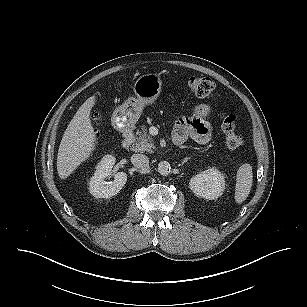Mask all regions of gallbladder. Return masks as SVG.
I'll return each instance as SVG.
<instances>
[{
  "label": "gallbladder",
  "instance_id": "gallbladder-1",
  "mask_svg": "<svg viewBox=\"0 0 307 307\" xmlns=\"http://www.w3.org/2000/svg\"><path fill=\"white\" fill-rule=\"evenodd\" d=\"M96 119H97L98 121H101V120H102V117H101V116H98Z\"/></svg>",
  "mask_w": 307,
  "mask_h": 307
}]
</instances>
